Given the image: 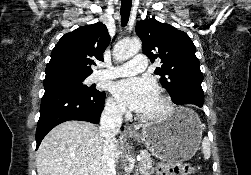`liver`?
<instances>
[{"instance_id": "obj_1", "label": "liver", "mask_w": 251, "mask_h": 175, "mask_svg": "<svg viewBox=\"0 0 251 175\" xmlns=\"http://www.w3.org/2000/svg\"><path fill=\"white\" fill-rule=\"evenodd\" d=\"M141 125H135L139 129ZM104 137L97 125L88 121H64L42 139L36 155L38 175H100ZM115 161L120 153L119 141L112 151Z\"/></svg>"}]
</instances>
